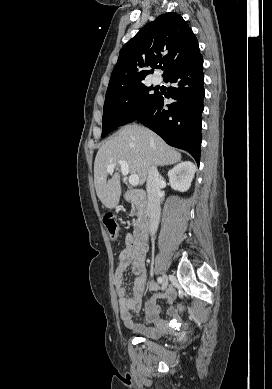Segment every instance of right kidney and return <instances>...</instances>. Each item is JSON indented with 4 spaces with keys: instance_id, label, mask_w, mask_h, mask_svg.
<instances>
[{
    "instance_id": "obj_1",
    "label": "right kidney",
    "mask_w": 272,
    "mask_h": 389,
    "mask_svg": "<svg viewBox=\"0 0 272 389\" xmlns=\"http://www.w3.org/2000/svg\"><path fill=\"white\" fill-rule=\"evenodd\" d=\"M196 168L190 161L179 163L168 172L170 185L173 189L186 192L194 178Z\"/></svg>"
}]
</instances>
